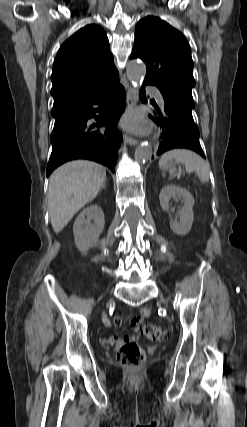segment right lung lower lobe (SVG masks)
Here are the masks:
<instances>
[{
	"instance_id": "98d812e1",
	"label": "right lung lower lobe",
	"mask_w": 247,
	"mask_h": 427,
	"mask_svg": "<svg viewBox=\"0 0 247 427\" xmlns=\"http://www.w3.org/2000/svg\"><path fill=\"white\" fill-rule=\"evenodd\" d=\"M125 105V91L119 80L91 97L54 105L53 149L47 177L59 165L75 159L93 160L114 172L121 141L115 126ZM103 126L106 128L98 129Z\"/></svg>"
}]
</instances>
